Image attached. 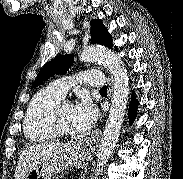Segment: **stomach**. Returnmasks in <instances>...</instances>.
Segmentation results:
<instances>
[{"mask_svg":"<svg viewBox=\"0 0 183 179\" xmlns=\"http://www.w3.org/2000/svg\"><path fill=\"white\" fill-rule=\"evenodd\" d=\"M90 150L76 143L65 144L62 148L29 171L24 179H51L70 166L82 168L87 165Z\"/></svg>","mask_w":183,"mask_h":179,"instance_id":"1","label":"stomach"}]
</instances>
